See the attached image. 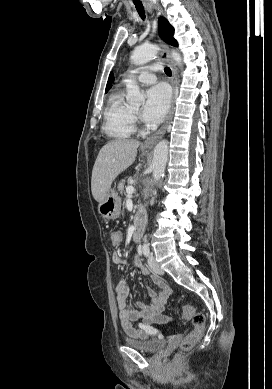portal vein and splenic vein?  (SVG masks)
<instances>
[{"mask_svg":"<svg viewBox=\"0 0 272 389\" xmlns=\"http://www.w3.org/2000/svg\"><path fill=\"white\" fill-rule=\"evenodd\" d=\"M134 191H135V188L133 186H128L126 188L127 194H132V193H134Z\"/></svg>","mask_w":272,"mask_h":389,"instance_id":"18ae733b","label":"portal vein and splenic vein"}]
</instances>
